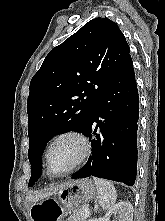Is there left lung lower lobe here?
<instances>
[{
  "instance_id": "1",
  "label": "left lung lower lobe",
  "mask_w": 165,
  "mask_h": 221,
  "mask_svg": "<svg viewBox=\"0 0 165 221\" xmlns=\"http://www.w3.org/2000/svg\"><path fill=\"white\" fill-rule=\"evenodd\" d=\"M138 101L130 57L99 97L81 131L92 141V156L72 176L73 179L95 176L134 185L137 173Z\"/></svg>"
}]
</instances>
